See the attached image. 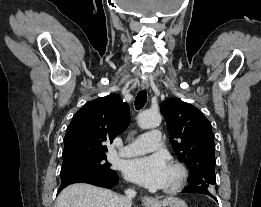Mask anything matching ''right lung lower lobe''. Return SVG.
<instances>
[{
  "mask_svg": "<svg viewBox=\"0 0 261 207\" xmlns=\"http://www.w3.org/2000/svg\"><path fill=\"white\" fill-rule=\"evenodd\" d=\"M78 182L89 183L104 188H112L118 184L119 178L117 173L74 175L62 179L58 193L66 186Z\"/></svg>",
  "mask_w": 261,
  "mask_h": 207,
  "instance_id": "1",
  "label": "right lung lower lobe"
}]
</instances>
